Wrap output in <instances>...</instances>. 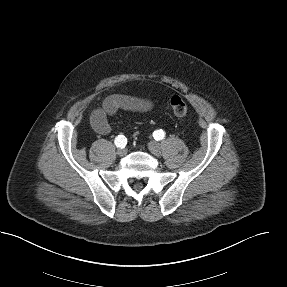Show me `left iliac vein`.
<instances>
[{
	"mask_svg": "<svg viewBox=\"0 0 287 287\" xmlns=\"http://www.w3.org/2000/svg\"><path fill=\"white\" fill-rule=\"evenodd\" d=\"M148 149L152 154H154L156 156H159L161 154L160 144L156 141L149 142L148 143Z\"/></svg>",
	"mask_w": 287,
	"mask_h": 287,
	"instance_id": "4c4485c4",
	"label": "left iliac vein"
}]
</instances>
